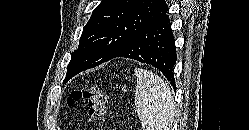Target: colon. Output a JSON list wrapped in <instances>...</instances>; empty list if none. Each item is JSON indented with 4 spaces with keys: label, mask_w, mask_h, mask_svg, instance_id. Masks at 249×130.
<instances>
[{
    "label": "colon",
    "mask_w": 249,
    "mask_h": 130,
    "mask_svg": "<svg viewBox=\"0 0 249 130\" xmlns=\"http://www.w3.org/2000/svg\"><path fill=\"white\" fill-rule=\"evenodd\" d=\"M80 99H85L88 102V129H92L94 124L100 123L103 119L106 110L107 95L100 86L92 85L74 90L68 98V104L73 105Z\"/></svg>",
    "instance_id": "colon-1"
}]
</instances>
